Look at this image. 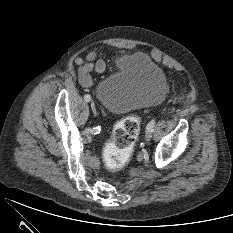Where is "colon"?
Returning a JSON list of instances; mask_svg holds the SVG:
<instances>
[{
	"mask_svg": "<svg viewBox=\"0 0 233 233\" xmlns=\"http://www.w3.org/2000/svg\"><path fill=\"white\" fill-rule=\"evenodd\" d=\"M140 130L139 117L129 115L118 122L104 150V163L108 170L118 171L129 160Z\"/></svg>",
	"mask_w": 233,
	"mask_h": 233,
	"instance_id": "colon-1",
	"label": "colon"
}]
</instances>
